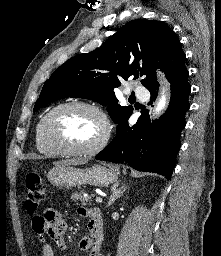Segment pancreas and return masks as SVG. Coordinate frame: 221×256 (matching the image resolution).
Masks as SVG:
<instances>
[{"label": "pancreas", "mask_w": 221, "mask_h": 256, "mask_svg": "<svg viewBox=\"0 0 221 256\" xmlns=\"http://www.w3.org/2000/svg\"><path fill=\"white\" fill-rule=\"evenodd\" d=\"M71 199L75 201L77 204L87 205L91 204V196H83V191H75L71 195Z\"/></svg>", "instance_id": "cf45deb5"}]
</instances>
